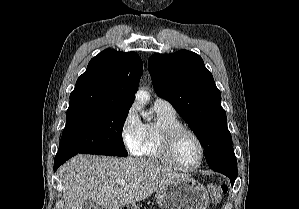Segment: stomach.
Here are the masks:
<instances>
[{"label":"stomach","instance_id":"0dacf381","mask_svg":"<svg viewBox=\"0 0 299 209\" xmlns=\"http://www.w3.org/2000/svg\"><path fill=\"white\" fill-rule=\"evenodd\" d=\"M156 201L162 209H206L209 205V194L204 185L186 177L160 188L156 193ZM108 209L137 208L129 204Z\"/></svg>","mask_w":299,"mask_h":209}]
</instances>
